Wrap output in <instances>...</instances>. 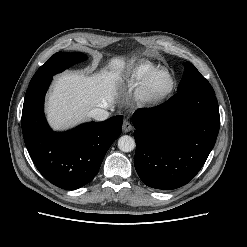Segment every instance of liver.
<instances>
[{
	"mask_svg": "<svg viewBox=\"0 0 247 247\" xmlns=\"http://www.w3.org/2000/svg\"><path fill=\"white\" fill-rule=\"evenodd\" d=\"M126 62L112 58L110 71L87 76L83 72H68L58 76L48 94L47 118L54 130L68 129L89 116L94 108H110L115 102L117 85Z\"/></svg>",
	"mask_w": 247,
	"mask_h": 247,
	"instance_id": "liver-1",
	"label": "liver"
}]
</instances>
